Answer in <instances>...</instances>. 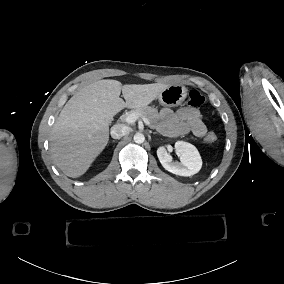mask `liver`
<instances>
[{
	"label": "liver",
	"mask_w": 284,
	"mask_h": 284,
	"mask_svg": "<svg viewBox=\"0 0 284 284\" xmlns=\"http://www.w3.org/2000/svg\"><path fill=\"white\" fill-rule=\"evenodd\" d=\"M170 85L125 84L117 80L90 83L62 108L51 131L54 164L70 178L83 176L109 142V124L123 109L150 105ZM122 95L125 102L119 97Z\"/></svg>",
	"instance_id": "1"
}]
</instances>
